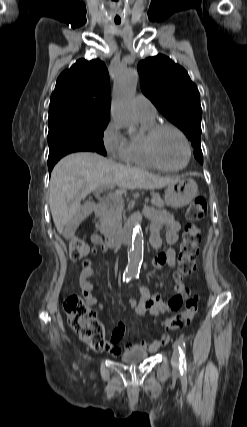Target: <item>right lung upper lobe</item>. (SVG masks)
I'll return each instance as SVG.
<instances>
[{
    "instance_id": "cb5924a9",
    "label": "right lung upper lobe",
    "mask_w": 247,
    "mask_h": 427,
    "mask_svg": "<svg viewBox=\"0 0 247 427\" xmlns=\"http://www.w3.org/2000/svg\"><path fill=\"white\" fill-rule=\"evenodd\" d=\"M65 109L110 114L109 74L102 61L80 59L60 74L49 114Z\"/></svg>"
}]
</instances>
